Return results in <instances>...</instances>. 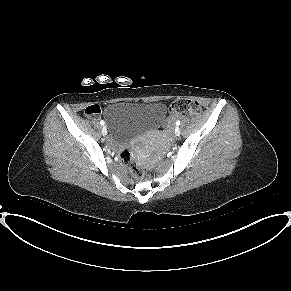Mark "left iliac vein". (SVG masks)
Instances as JSON below:
<instances>
[{
	"label": "left iliac vein",
	"instance_id": "left-iliac-vein-1",
	"mask_svg": "<svg viewBox=\"0 0 291 291\" xmlns=\"http://www.w3.org/2000/svg\"><path fill=\"white\" fill-rule=\"evenodd\" d=\"M180 133H181L180 129H179L178 127H176V128H175V134H176L177 136H179Z\"/></svg>",
	"mask_w": 291,
	"mask_h": 291
}]
</instances>
